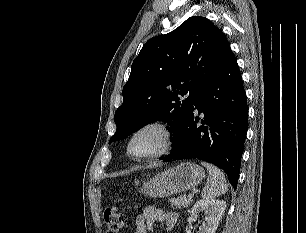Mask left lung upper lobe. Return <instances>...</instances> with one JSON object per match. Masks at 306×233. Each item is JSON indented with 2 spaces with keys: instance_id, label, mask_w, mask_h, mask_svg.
Masks as SVG:
<instances>
[{
  "instance_id": "obj_1",
  "label": "left lung upper lobe",
  "mask_w": 306,
  "mask_h": 233,
  "mask_svg": "<svg viewBox=\"0 0 306 233\" xmlns=\"http://www.w3.org/2000/svg\"><path fill=\"white\" fill-rule=\"evenodd\" d=\"M230 50L224 33L200 16L148 40L132 63L109 143L156 120L170 125L173 140Z\"/></svg>"
}]
</instances>
